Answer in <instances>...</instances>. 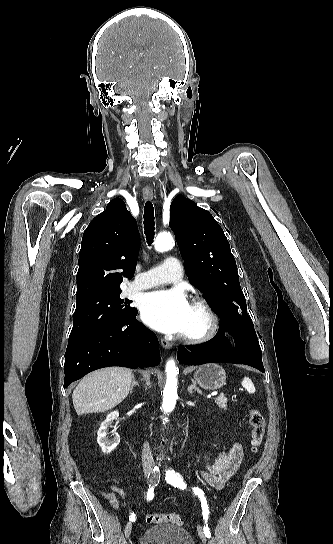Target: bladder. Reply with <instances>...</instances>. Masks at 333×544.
<instances>
[{
    "label": "bladder",
    "instance_id": "bladder-1",
    "mask_svg": "<svg viewBox=\"0 0 333 544\" xmlns=\"http://www.w3.org/2000/svg\"><path fill=\"white\" fill-rule=\"evenodd\" d=\"M139 544H194L190 533L175 525H161L146 529Z\"/></svg>",
    "mask_w": 333,
    "mask_h": 544
}]
</instances>
